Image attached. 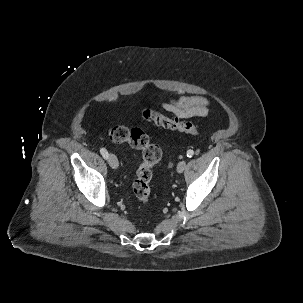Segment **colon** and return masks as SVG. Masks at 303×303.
<instances>
[{
  "label": "colon",
  "instance_id": "colon-1",
  "mask_svg": "<svg viewBox=\"0 0 303 303\" xmlns=\"http://www.w3.org/2000/svg\"><path fill=\"white\" fill-rule=\"evenodd\" d=\"M142 117L144 120L165 129L183 132L192 136L198 134V129L193 123L166 117L150 108L142 111ZM107 134L112 141L116 143L127 142L133 148L141 151L143 161L137 170L132 189L139 201L144 204L148 203L151 193L152 168L162 158L160 146L151 143L148 135L139 128L128 129L124 126H113L107 130Z\"/></svg>",
  "mask_w": 303,
  "mask_h": 303
}]
</instances>
